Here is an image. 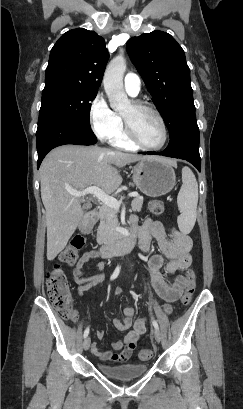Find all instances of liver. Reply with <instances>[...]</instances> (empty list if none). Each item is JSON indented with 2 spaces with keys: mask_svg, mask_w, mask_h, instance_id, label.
Masks as SVG:
<instances>
[{
  "mask_svg": "<svg viewBox=\"0 0 243 409\" xmlns=\"http://www.w3.org/2000/svg\"><path fill=\"white\" fill-rule=\"evenodd\" d=\"M148 157L79 145H63L47 154L40 166V186L46 210L49 261L66 247L84 217L81 197L71 195L68 190L82 191L97 186L110 194L122 183L117 168Z\"/></svg>",
  "mask_w": 243,
  "mask_h": 409,
  "instance_id": "liver-1",
  "label": "liver"
}]
</instances>
